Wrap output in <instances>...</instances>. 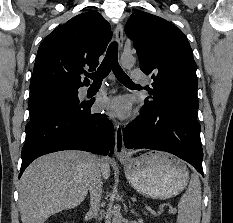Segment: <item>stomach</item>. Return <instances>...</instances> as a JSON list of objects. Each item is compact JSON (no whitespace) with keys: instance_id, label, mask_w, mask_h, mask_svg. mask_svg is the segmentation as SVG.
Returning a JSON list of instances; mask_svg holds the SVG:
<instances>
[{"instance_id":"stomach-1","label":"stomach","mask_w":233,"mask_h":223,"mask_svg":"<svg viewBox=\"0 0 233 223\" xmlns=\"http://www.w3.org/2000/svg\"><path fill=\"white\" fill-rule=\"evenodd\" d=\"M122 163L130 185L152 199L175 197L189 181L184 161L164 151H146Z\"/></svg>"}]
</instances>
